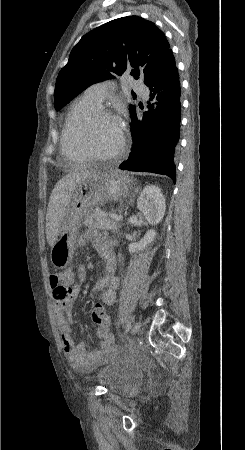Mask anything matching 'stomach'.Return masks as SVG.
I'll return each mask as SVG.
<instances>
[{
    "mask_svg": "<svg viewBox=\"0 0 245 450\" xmlns=\"http://www.w3.org/2000/svg\"><path fill=\"white\" fill-rule=\"evenodd\" d=\"M131 182L122 172L98 170L77 185L51 248V263L55 268L63 269L71 264L74 240L82 218L97 204L124 197Z\"/></svg>",
    "mask_w": 245,
    "mask_h": 450,
    "instance_id": "1",
    "label": "stomach"
}]
</instances>
